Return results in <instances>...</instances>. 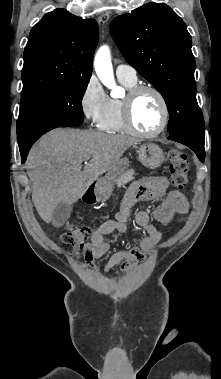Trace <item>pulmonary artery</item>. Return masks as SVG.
Here are the masks:
<instances>
[{"label":"pulmonary artery","instance_id":"pulmonary-artery-1","mask_svg":"<svg viewBox=\"0 0 221 379\" xmlns=\"http://www.w3.org/2000/svg\"><path fill=\"white\" fill-rule=\"evenodd\" d=\"M116 75L118 79H124L130 82L137 81L136 70L128 64H120L116 68Z\"/></svg>","mask_w":221,"mask_h":379}]
</instances>
